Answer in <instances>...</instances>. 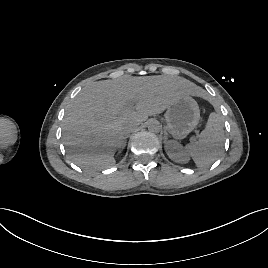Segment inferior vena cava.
<instances>
[{
    "label": "inferior vena cava",
    "mask_w": 268,
    "mask_h": 268,
    "mask_svg": "<svg viewBox=\"0 0 268 268\" xmlns=\"http://www.w3.org/2000/svg\"><path fill=\"white\" fill-rule=\"evenodd\" d=\"M135 128H136V127H135L134 125H126V126L124 127L125 134L127 135V134L133 132V131L135 130Z\"/></svg>",
    "instance_id": "1"
}]
</instances>
